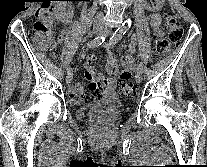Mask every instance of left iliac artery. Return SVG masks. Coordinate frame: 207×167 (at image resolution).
<instances>
[{
  "label": "left iliac artery",
  "mask_w": 207,
  "mask_h": 167,
  "mask_svg": "<svg viewBox=\"0 0 207 167\" xmlns=\"http://www.w3.org/2000/svg\"><path fill=\"white\" fill-rule=\"evenodd\" d=\"M126 31L127 30L117 29L113 33L112 37L110 38V45H112V46L116 45L122 39V37L125 35ZM143 69H144L143 65H142V63H140L138 65V71L143 72Z\"/></svg>",
  "instance_id": "44dca946"
}]
</instances>
